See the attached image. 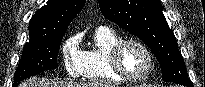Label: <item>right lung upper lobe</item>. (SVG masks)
<instances>
[{"instance_id":"right-lung-upper-lobe-1","label":"right lung upper lobe","mask_w":205,"mask_h":87,"mask_svg":"<svg viewBox=\"0 0 205 87\" xmlns=\"http://www.w3.org/2000/svg\"><path fill=\"white\" fill-rule=\"evenodd\" d=\"M85 2L86 0H48L30 20V38L65 34L68 25L83 8Z\"/></svg>"}]
</instances>
